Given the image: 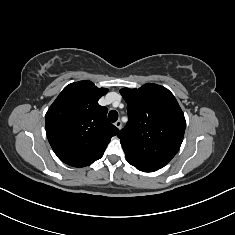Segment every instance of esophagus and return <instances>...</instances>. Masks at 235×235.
Here are the masks:
<instances>
[{
    "instance_id": "1",
    "label": "esophagus",
    "mask_w": 235,
    "mask_h": 235,
    "mask_svg": "<svg viewBox=\"0 0 235 235\" xmlns=\"http://www.w3.org/2000/svg\"><path fill=\"white\" fill-rule=\"evenodd\" d=\"M118 129H121L122 128V123L120 120L116 121L115 124H114Z\"/></svg>"
}]
</instances>
